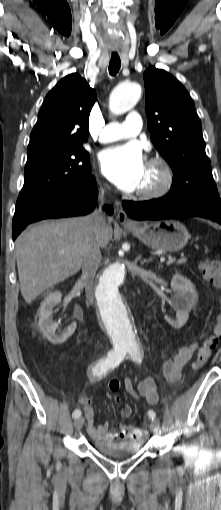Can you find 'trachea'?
<instances>
[{
	"label": "trachea",
	"mask_w": 221,
	"mask_h": 510,
	"mask_svg": "<svg viewBox=\"0 0 221 510\" xmlns=\"http://www.w3.org/2000/svg\"><path fill=\"white\" fill-rule=\"evenodd\" d=\"M121 67V60L117 53H113L109 63V73L114 76L118 73Z\"/></svg>",
	"instance_id": "3493384b"
}]
</instances>
